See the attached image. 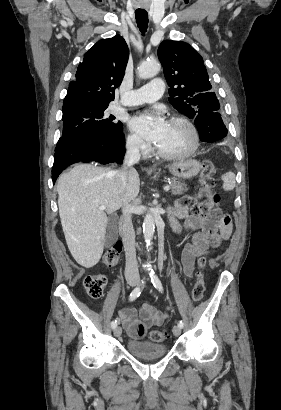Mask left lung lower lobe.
<instances>
[{
    "label": "left lung lower lobe",
    "instance_id": "left-lung-lower-lobe-1",
    "mask_svg": "<svg viewBox=\"0 0 281 410\" xmlns=\"http://www.w3.org/2000/svg\"><path fill=\"white\" fill-rule=\"evenodd\" d=\"M194 124L203 142H215L227 135V129L223 124L221 114L218 112L201 113L195 118Z\"/></svg>",
    "mask_w": 281,
    "mask_h": 410
}]
</instances>
